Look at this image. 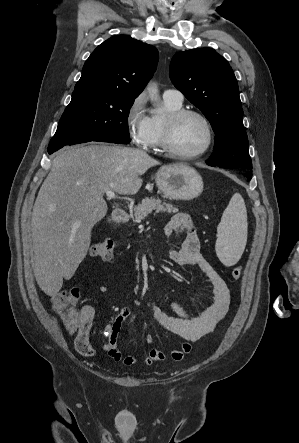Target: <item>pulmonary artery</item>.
Segmentation results:
<instances>
[{"instance_id":"obj_1","label":"pulmonary artery","mask_w":299,"mask_h":443,"mask_svg":"<svg viewBox=\"0 0 299 443\" xmlns=\"http://www.w3.org/2000/svg\"><path fill=\"white\" fill-rule=\"evenodd\" d=\"M163 97L175 103H182L184 96L181 91L177 89H167L163 93Z\"/></svg>"}]
</instances>
